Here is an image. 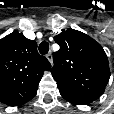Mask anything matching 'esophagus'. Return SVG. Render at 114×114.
<instances>
[{
  "instance_id": "1",
  "label": "esophagus",
  "mask_w": 114,
  "mask_h": 114,
  "mask_svg": "<svg viewBox=\"0 0 114 114\" xmlns=\"http://www.w3.org/2000/svg\"><path fill=\"white\" fill-rule=\"evenodd\" d=\"M46 57H47L48 61L51 63V65H52V64H53L52 54H51V53H48V54L46 55Z\"/></svg>"
}]
</instances>
